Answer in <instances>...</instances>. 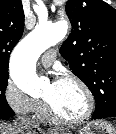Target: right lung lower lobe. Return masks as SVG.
I'll return each mask as SVG.
<instances>
[{
	"label": "right lung lower lobe",
	"instance_id": "right-lung-lower-lobe-1",
	"mask_svg": "<svg viewBox=\"0 0 116 134\" xmlns=\"http://www.w3.org/2000/svg\"><path fill=\"white\" fill-rule=\"evenodd\" d=\"M14 115H15V113L12 112V113H10V114L4 116V118H1V119L9 118V117H12V116H14Z\"/></svg>",
	"mask_w": 116,
	"mask_h": 134
}]
</instances>
